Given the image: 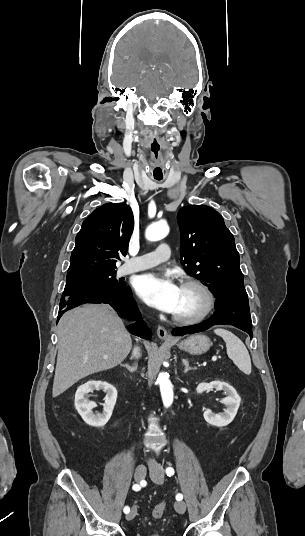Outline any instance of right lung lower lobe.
<instances>
[{
	"label": "right lung lower lobe",
	"mask_w": 305,
	"mask_h": 536,
	"mask_svg": "<svg viewBox=\"0 0 305 536\" xmlns=\"http://www.w3.org/2000/svg\"><path fill=\"white\" fill-rule=\"evenodd\" d=\"M85 303L110 304L119 316L128 317L130 320L138 321L134 325L128 326V330L132 334L142 338H151V330L148 329L146 323L141 320L140 312L133 299L129 286H124L113 292H102L91 289L64 290L60 300L58 318H60L66 311Z\"/></svg>",
	"instance_id": "obj_1"
}]
</instances>
